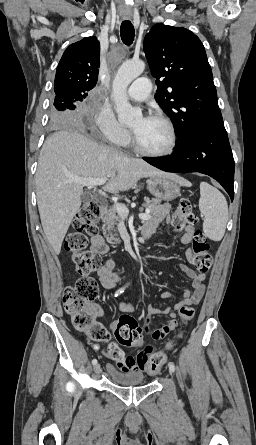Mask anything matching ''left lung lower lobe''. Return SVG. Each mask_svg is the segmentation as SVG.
Returning a JSON list of instances; mask_svg holds the SVG:
<instances>
[{"label": "left lung lower lobe", "instance_id": "0a47b994", "mask_svg": "<svg viewBox=\"0 0 256 445\" xmlns=\"http://www.w3.org/2000/svg\"><path fill=\"white\" fill-rule=\"evenodd\" d=\"M167 172H200L216 179L234 198V159L224 127H202L191 130L178 141L171 156L143 158Z\"/></svg>", "mask_w": 256, "mask_h": 445}]
</instances>
